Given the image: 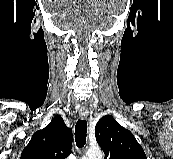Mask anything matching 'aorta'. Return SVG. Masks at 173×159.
<instances>
[{
  "label": "aorta",
  "mask_w": 173,
  "mask_h": 159,
  "mask_svg": "<svg viewBox=\"0 0 173 159\" xmlns=\"http://www.w3.org/2000/svg\"><path fill=\"white\" fill-rule=\"evenodd\" d=\"M103 153L100 149H89L83 159H102Z\"/></svg>",
  "instance_id": "1"
}]
</instances>
